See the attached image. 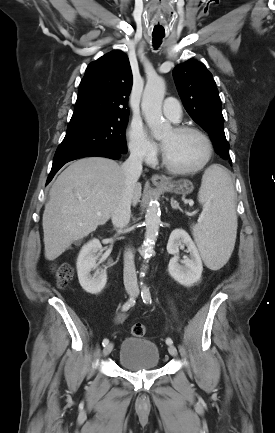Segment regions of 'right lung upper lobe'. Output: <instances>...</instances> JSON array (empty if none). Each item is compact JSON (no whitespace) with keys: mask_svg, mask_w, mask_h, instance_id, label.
<instances>
[{"mask_svg":"<svg viewBox=\"0 0 275 433\" xmlns=\"http://www.w3.org/2000/svg\"><path fill=\"white\" fill-rule=\"evenodd\" d=\"M132 83L129 60L122 51L103 55L87 67L71 119L129 117L127 104Z\"/></svg>","mask_w":275,"mask_h":433,"instance_id":"cb5924a9","label":"right lung upper lobe"}]
</instances>
